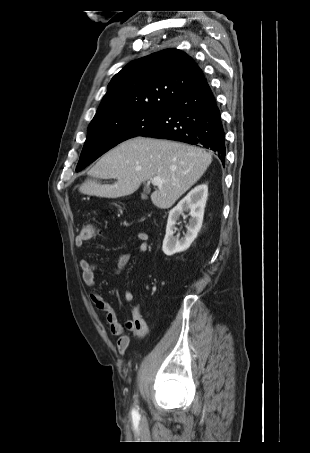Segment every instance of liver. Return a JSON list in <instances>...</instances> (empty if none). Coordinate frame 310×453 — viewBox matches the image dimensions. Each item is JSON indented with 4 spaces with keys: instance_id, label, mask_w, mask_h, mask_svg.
Returning <instances> with one entry per match:
<instances>
[{
    "instance_id": "liver-1",
    "label": "liver",
    "mask_w": 310,
    "mask_h": 453,
    "mask_svg": "<svg viewBox=\"0 0 310 453\" xmlns=\"http://www.w3.org/2000/svg\"><path fill=\"white\" fill-rule=\"evenodd\" d=\"M212 162L204 149L153 138L135 137L107 152L88 172L79 191L89 196L119 198L133 194L142 182L160 177L165 182L151 194L152 203L168 209L193 186ZM97 178L117 181L101 184Z\"/></svg>"
}]
</instances>
